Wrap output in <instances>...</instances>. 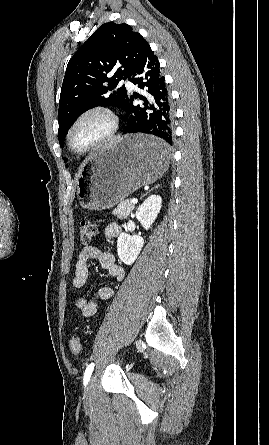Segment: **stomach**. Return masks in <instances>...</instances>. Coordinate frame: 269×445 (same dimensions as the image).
I'll list each match as a JSON object with an SVG mask.
<instances>
[{
	"instance_id": "obj_1",
	"label": "stomach",
	"mask_w": 269,
	"mask_h": 445,
	"mask_svg": "<svg viewBox=\"0 0 269 445\" xmlns=\"http://www.w3.org/2000/svg\"><path fill=\"white\" fill-rule=\"evenodd\" d=\"M155 141L142 134L126 135L97 150L77 178L80 205L88 210L109 209L162 177L170 154L152 156L144 150L145 144Z\"/></svg>"
}]
</instances>
